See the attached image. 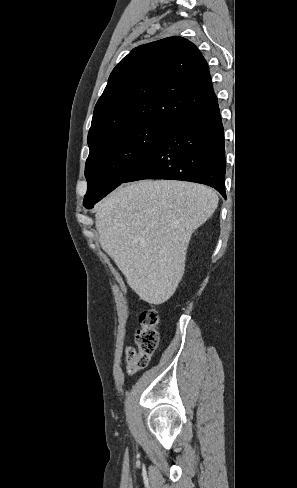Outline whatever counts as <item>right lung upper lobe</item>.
<instances>
[{"label": "right lung upper lobe", "instance_id": "cb5924a9", "mask_svg": "<svg viewBox=\"0 0 297 488\" xmlns=\"http://www.w3.org/2000/svg\"><path fill=\"white\" fill-rule=\"evenodd\" d=\"M216 99L208 64L192 42L173 36L141 45L110 74L94 109L88 145L133 125L171 126Z\"/></svg>", "mask_w": 297, "mask_h": 488}]
</instances>
